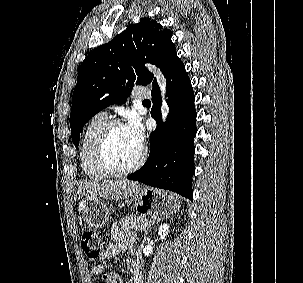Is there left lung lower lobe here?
Returning <instances> with one entry per match:
<instances>
[{
	"mask_svg": "<svg viewBox=\"0 0 303 283\" xmlns=\"http://www.w3.org/2000/svg\"><path fill=\"white\" fill-rule=\"evenodd\" d=\"M167 79L168 121H161V96L153 83L151 110L158 127L150 135V154L144 166L129 175L130 180L171 190L190 200L194 167L196 110L191 81L180 58L176 57L164 72Z\"/></svg>",
	"mask_w": 303,
	"mask_h": 283,
	"instance_id": "1",
	"label": "left lung lower lobe"
}]
</instances>
